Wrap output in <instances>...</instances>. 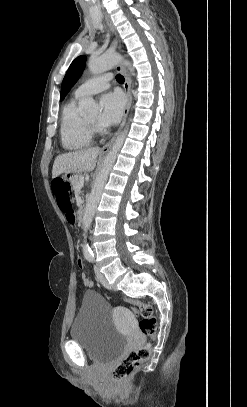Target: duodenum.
Here are the masks:
<instances>
[{
  "instance_id": "obj_1",
  "label": "duodenum",
  "mask_w": 247,
  "mask_h": 407,
  "mask_svg": "<svg viewBox=\"0 0 247 407\" xmlns=\"http://www.w3.org/2000/svg\"><path fill=\"white\" fill-rule=\"evenodd\" d=\"M84 216H85V207L83 206V207L79 208V210H78L79 222H81L84 219Z\"/></svg>"
}]
</instances>
